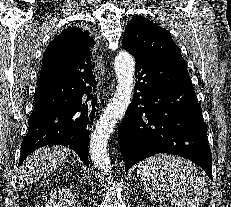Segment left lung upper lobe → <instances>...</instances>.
Returning <instances> with one entry per match:
<instances>
[{"instance_id":"left-lung-upper-lobe-1","label":"left lung upper lobe","mask_w":231,"mask_h":207,"mask_svg":"<svg viewBox=\"0 0 231 207\" xmlns=\"http://www.w3.org/2000/svg\"><path fill=\"white\" fill-rule=\"evenodd\" d=\"M122 45L134 57L143 55L166 63H185L170 33L143 16L136 15L130 20Z\"/></svg>"}]
</instances>
